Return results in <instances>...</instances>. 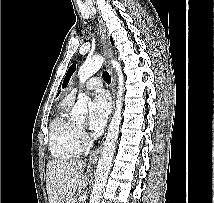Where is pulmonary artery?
I'll list each match as a JSON object with an SVG mask.
<instances>
[{
    "instance_id": "pulmonary-artery-1",
    "label": "pulmonary artery",
    "mask_w": 214,
    "mask_h": 203,
    "mask_svg": "<svg viewBox=\"0 0 214 203\" xmlns=\"http://www.w3.org/2000/svg\"><path fill=\"white\" fill-rule=\"evenodd\" d=\"M102 80L99 77L90 78L83 86L85 90H97L102 87ZM79 92L78 88L73 89V91L68 95L70 98L75 97V95Z\"/></svg>"
}]
</instances>
